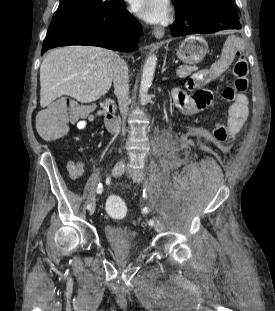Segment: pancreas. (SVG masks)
<instances>
[{
	"label": "pancreas",
	"instance_id": "pancreas-1",
	"mask_svg": "<svg viewBox=\"0 0 275 311\" xmlns=\"http://www.w3.org/2000/svg\"><path fill=\"white\" fill-rule=\"evenodd\" d=\"M198 68L196 66H184L181 67L180 71L177 73L179 77H186L190 75L193 71H196Z\"/></svg>",
	"mask_w": 275,
	"mask_h": 311
}]
</instances>
